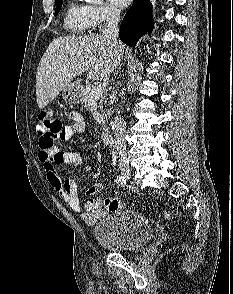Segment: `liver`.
Here are the masks:
<instances>
[{
    "mask_svg": "<svg viewBox=\"0 0 233 294\" xmlns=\"http://www.w3.org/2000/svg\"><path fill=\"white\" fill-rule=\"evenodd\" d=\"M124 46L102 35L59 37L47 47L36 73L38 107L44 109L74 77L87 72L90 79H106L122 59Z\"/></svg>",
    "mask_w": 233,
    "mask_h": 294,
    "instance_id": "liver-1",
    "label": "liver"
}]
</instances>
